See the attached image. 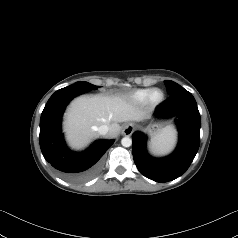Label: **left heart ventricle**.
<instances>
[{
	"label": "left heart ventricle",
	"instance_id": "left-heart-ventricle-1",
	"mask_svg": "<svg viewBox=\"0 0 238 238\" xmlns=\"http://www.w3.org/2000/svg\"><path fill=\"white\" fill-rule=\"evenodd\" d=\"M154 98L157 100V99H159L160 98V94H156L155 96H154Z\"/></svg>",
	"mask_w": 238,
	"mask_h": 238
}]
</instances>
